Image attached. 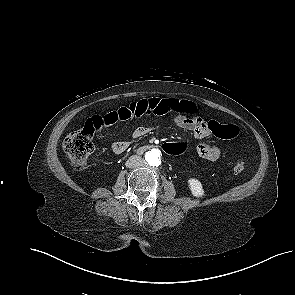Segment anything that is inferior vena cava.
Here are the masks:
<instances>
[{"label":"inferior vena cava","mask_w":295,"mask_h":295,"mask_svg":"<svg viewBox=\"0 0 295 295\" xmlns=\"http://www.w3.org/2000/svg\"><path fill=\"white\" fill-rule=\"evenodd\" d=\"M144 163V160L137 155H133L131 157H129V159L126 161V167L128 168H137L142 166Z\"/></svg>","instance_id":"inferior-vena-cava-1"}]
</instances>
